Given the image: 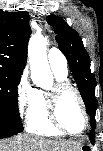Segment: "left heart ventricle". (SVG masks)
I'll return each mask as SVG.
<instances>
[{
    "mask_svg": "<svg viewBox=\"0 0 103 151\" xmlns=\"http://www.w3.org/2000/svg\"><path fill=\"white\" fill-rule=\"evenodd\" d=\"M58 116L61 123L72 132H79L84 127L82 107L72 92H67L60 98Z\"/></svg>",
    "mask_w": 103,
    "mask_h": 151,
    "instance_id": "obj_1",
    "label": "left heart ventricle"
}]
</instances>
